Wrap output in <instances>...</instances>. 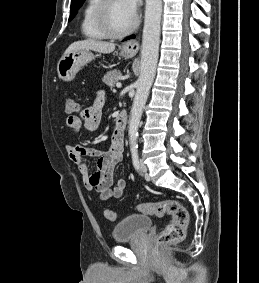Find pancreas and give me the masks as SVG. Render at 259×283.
Wrapping results in <instances>:
<instances>
[{
  "label": "pancreas",
  "instance_id": "pancreas-1",
  "mask_svg": "<svg viewBox=\"0 0 259 283\" xmlns=\"http://www.w3.org/2000/svg\"><path fill=\"white\" fill-rule=\"evenodd\" d=\"M121 72L119 70H112L104 75L103 82L110 87H113L120 79Z\"/></svg>",
  "mask_w": 259,
  "mask_h": 283
}]
</instances>
